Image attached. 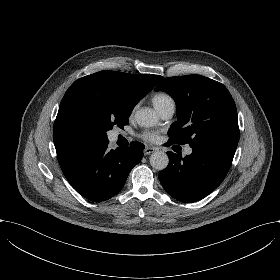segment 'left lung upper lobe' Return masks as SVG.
Instances as JSON below:
<instances>
[{
  "instance_id": "5c2ea615",
  "label": "left lung upper lobe",
  "mask_w": 280,
  "mask_h": 280,
  "mask_svg": "<svg viewBox=\"0 0 280 280\" xmlns=\"http://www.w3.org/2000/svg\"><path fill=\"white\" fill-rule=\"evenodd\" d=\"M155 91H165L176 103L178 120L168 132L172 142L237 148L236 105L223 84L201 75H187L165 78Z\"/></svg>"
}]
</instances>
